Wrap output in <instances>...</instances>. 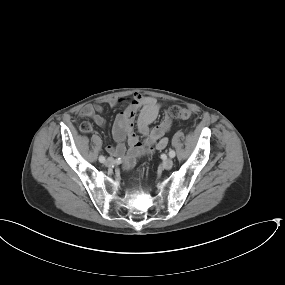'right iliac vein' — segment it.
Returning a JSON list of instances; mask_svg holds the SVG:
<instances>
[{
    "mask_svg": "<svg viewBox=\"0 0 285 285\" xmlns=\"http://www.w3.org/2000/svg\"><path fill=\"white\" fill-rule=\"evenodd\" d=\"M114 163H115V161H114V159L111 158V157H109V158L105 161V164H106L107 166H111V165H113Z\"/></svg>",
    "mask_w": 285,
    "mask_h": 285,
    "instance_id": "right-iliac-vein-1",
    "label": "right iliac vein"
}]
</instances>
